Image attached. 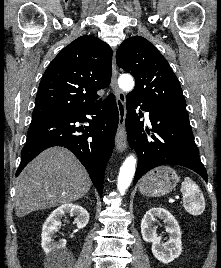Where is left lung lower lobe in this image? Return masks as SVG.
Here are the masks:
<instances>
[{"instance_id":"0a47b994","label":"left lung lower lobe","mask_w":221,"mask_h":268,"mask_svg":"<svg viewBox=\"0 0 221 268\" xmlns=\"http://www.w3.org/2000/svg\"><path fill=\"white\" fill-rule=\"evenodd\" d=\"M126 101L128 142L138 152L134 184L149 170L165 164L190 168L207 181L186 108L149 103L131 95L126 96ZM138 106L149 113L153 133L140 121L143 114L139 111L138 115Z\"/></svg>"}]
</instances>
